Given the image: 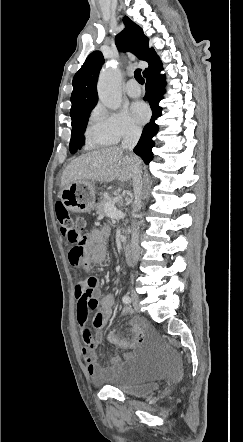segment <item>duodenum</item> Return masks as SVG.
I'll return each mask as SVG.
<instances>
[{
	"label": "duodenum",
	"instance_id": "duodenum-1",
	"mask_svg": "<svg viewBox=\"0 0 243 442\" xmlns=\"http://www.w3.org/2000/svg\"><path fill=\"white\" fill-rule=\"evenodd\" d=\"M124 257L127 263L129 264L133 263V252L129 246H126L124 249Z\"/></svg>",
	"mask_w": 243,
	"mask_h": 442
}]
</instances>
